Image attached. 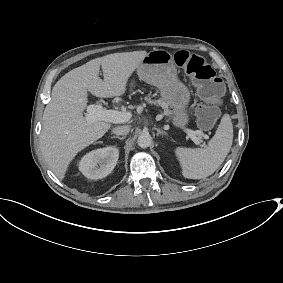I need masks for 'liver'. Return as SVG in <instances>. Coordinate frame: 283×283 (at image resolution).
<instances>
[{"mask_svg": "<svg viewBox=\"0 0 283 283\" xmlns=\"http://www.w3.org/2000/svg\"><path fill=\"white\" fill-rule=\"evenodd\" d=\"M146 55V51H133L96 58L69 71L54 85L43 113L40 146L45 161L59 179L64 178L76 154L110 128L107 122L90 123L84 118L87 91L102 98L123 95L129 77ZM100 66L104 80L99 78Z\"/></svg>", "mask_w": 283, "mask_h": 283, "instance_id": "1", "label": "liver"}]
</instances>
